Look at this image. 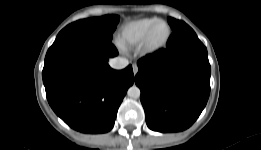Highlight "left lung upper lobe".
<instances>
[{
    "label": "left lung upper lobe",
    "instance_id": "5c2ea615",
    "mask_svg": "<svg viewBox=\"0 0 261 150\" xmlns=\"http://www.w3.org/2000/svg\"><path fill=\"white\" fill-rule=\"evenodd\" d=\"M168 23L170 24L173 31L187 25L183 21L176 20V19L171 18V17L168 18Z\"/></svg>",
    "mask_w": 261,
    "mask_h": 150
}]
</instances>
